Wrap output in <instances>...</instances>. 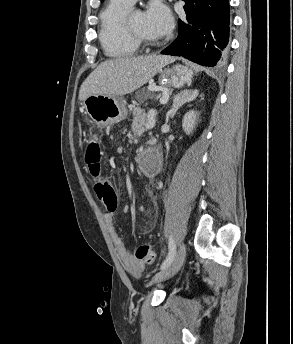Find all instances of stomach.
I'll use <instances>...</instances> for the list:
<instances>
[{
	"instance_id": "stomach-1",
	"label": "stomach",
	"mask_w": 293,
	"mask_h": 344,
	"mask_svg": "<svg viewBox=\"0 0 293 344\" xmlns=\"http://www.w3.org/2000/svg\"><path fill=\"white\" fill-rule=\"evenodd\" d=\"M158 74L161 85L179 87L191 79L192 70L188 66L174 65L160 69ZM83 107L99 126L115 124L127 117V109L119 96L91 95L83 101Z\"/></svg>"
}]
</instances>
